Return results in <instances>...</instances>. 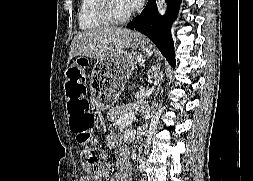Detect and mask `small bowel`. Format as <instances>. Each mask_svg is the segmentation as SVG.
Returning a JSON list of instances; mask_svg holds the SVG:
<instances>
[{
  "instance_id": "obj_1",
  "label": "small bowel",
  "mask_w": 253,
  "mask_h": 181,
  "mask_svg": "<svg viewBox=\"0 0 253 181\" xmlns=\"http://www.w3.org/2000/svg\"><path fill=\"white\" fill-rule=\"evenodd\" d=\"M124 111L125 109L123 107L111 110L109 113V119L112 121L119 119ZM116 143V136L114 134L108 135L106 145L109 148H113L116 146ZM110 175V181H130V165L125 155H121L116 164L107 163L104 168L95 175H82L80 181H104Z\"/></svg>"
}]
</instances>
